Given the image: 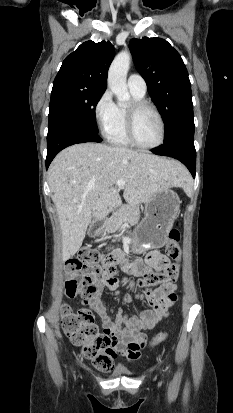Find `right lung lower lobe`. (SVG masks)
Segmentation results:
<instances>
[{
    "instance_id": "obj_1",
    "label": "right lung lower lobe",
    "mask_w": 233,
    "mask_h": 413,
    "mask_svg": "<svg viewBox=\"0 0 233 413\" xmlns=\"http://www.w3.org/2000/svg\"><path fill=\"white\" fill-rule=\"evenodd\" d=\"M84 142H101V139L97 133L72 125H58L48 130L46 169L62 149Z\"/></svg>"
}]
</instances>
